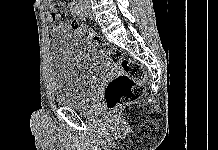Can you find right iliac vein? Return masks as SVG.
Masks as SVG:
<instances>
[{
	"instance_id": "1",
	"label": "right iliac vein",
	"mask_w": 218,
	"mask_h": 150,
	"mask_svg": "<svg viewBox=\"0 0 218 150\" xmlns=\"http://www.w3.org/2000/svg\"><path fill=\"white\" fill-rule=\"evenodd\" d=\"M87 12H88V11L85 10V14H86V15H87Z\"/></svg>"
}]
</instances>
